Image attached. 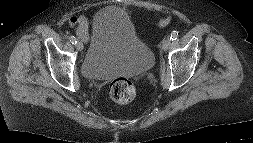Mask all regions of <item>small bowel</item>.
<instances>
[{"label": "small bowel", "mask_w": 253, "mask_h": 143, "mask_svg": "<svg viewBox=\"0 0 253 143\" xmlns=\"http://www.w3.org/2000/svg\"><path fill=\"white\" fill-rule=\"evenodd\" d=\"M169 21L168 18L161 20L158 24L163 26ZM69 24L76 28L78 36L82 40L88 38V20L84 14L73 15L69 18Z\"/></svg>", "instance_id": "1"}]
</instances>
